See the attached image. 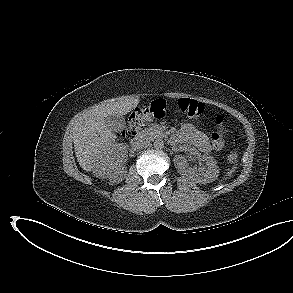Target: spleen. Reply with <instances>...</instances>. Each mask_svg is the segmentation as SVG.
Listing matches in <instances>:
<instances>
[{"mask_svg":"<svg viewBox=\"0 0 293 293\" xmlns=\"http://www.w3.org/2000/svg\"><path fill=\"white\" fill-rule=\"evenodd\" d=\"M235 171V169L233 168V169H231V170H229L228 172H227V176H231L232 175V173Z\"/></svg>","mask_w":293,"mask_h":293,"instance_id":"1","label":"spleen"}]
</instances>
